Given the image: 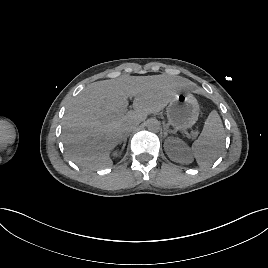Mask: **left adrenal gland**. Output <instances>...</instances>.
<instances>
[{
  "label": "left adrenal gland",
  "mask_w": 268,
  "mask_h": 268,
  "mask_svg": "<svg viewBox=\"0 0 268 268\" xmlns=\"http://www.w3.org/2000/svg\"><path fill=\"white\" fill-rule=\"evenodd\" d=\"M167 134H168V128L164 127V138L167 136Z\"/></svg>",
  "instance_id": "obj_1"
}]
</instances>
